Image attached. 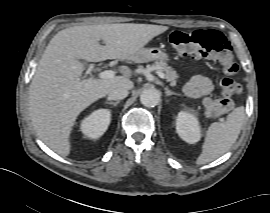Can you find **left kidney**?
<instances>
[{"label": "left kidney", "mask_w": 270, "mask_h": 213, "mask_svg": "<svg viewBox=\"0 0 270 213\" xmlns=\"http://www.w3.org/2000/svg\"><path fill=\"white\" fill-rule=\"evenodd\" d=\"M176 132L187 143L194 144L201 138V128L197 117L187 111H180L176 118Z\"/></svg>", "instance_id": "left-kidney-1"}]
</instances>
